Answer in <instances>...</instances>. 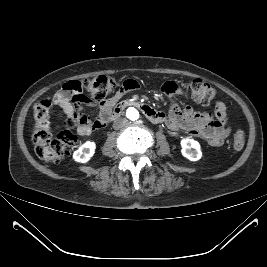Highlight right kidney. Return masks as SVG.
<instances>
[{
    "instance_id": "1",
    "label": "right kidney",
    "mask_w": 267,
    "mask_h": 267,
    "mask_svg": "<svg viewBox=\"0 0 267 267\" xmlns=\"http://www.w3.org/2000/svg\"><path fill=\"white\" fill-rule=\"evenodd\" d=\"M96 144L95 142L87 141L81 145L78 150L73 154V158L77 162L86 163L95 153Z\"/></svg>"
}]
</instances>
